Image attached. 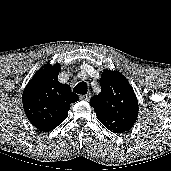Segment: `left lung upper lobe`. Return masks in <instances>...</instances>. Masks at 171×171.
Here are the masks:
<instances>
[{"instance_id": "1", "label": "left lung upper lobe", "mask_w": 171, "mask_h": 171, "mask_svg": "<svg viewBox=\"0 0 171 171\" xmlns=\"http://www.w3.org/2000/svg\"><path fill=\"white\" fill-rule=\"evenodd\" d=\"M100 85L101 93L90 101L98 120L114 133L130 130L138 116V101L128 80L120 72L105 70Z\"/></svg>"}]
</instances>
